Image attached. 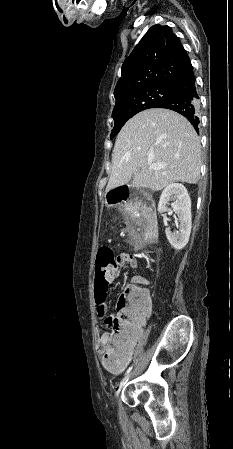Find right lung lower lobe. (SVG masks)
<instances>
[{
  "label": "right lung lower lobe",
  "instance_id": "obj_1",
  "mask_svg": "<svg viewBox=\"0 0 233 449\" xmlns=\"http://www.w3.org/2000/svg\"><path fill=\"white\" fill-rule=\"evenodd\" d=\"M175 96L158 104L155 108H166L185 116L195 130L199 132V96L195 85V76L172 86Z\"/></svg>",
  "mask_w": 233,
  "mask_h": 449
}]
</instances>
